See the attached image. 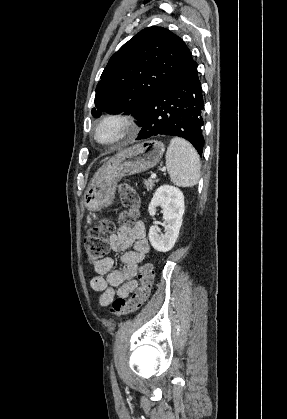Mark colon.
Instances as JSON below:
<instances>
[{
  "label": "colon",
  "mask_w": 287,
  "mask_h": 419,
  "mask_svg": "<svg viewBox=\"0 0 287 419\" xmlns=\"http://www.w3.org/2000/svg\"><path fill=\"white\" fill-rule=\"evenodd\" d=\"M119 194L123 207L122 217L128 221L133 220L138 213L139 196L136 190L128 184L119 186ZM115 223L108 219H102L95 227L85 235L84 246L88 259L97 264L102 261L109 250L107 235L114 232ZM153 268L150 264H143L139 271L140 286L129 299L117 298L113 301L110 313L114 316H124L135 312L148 300L153 283Z\"/></svg>",
  "instance_id": "1"
}]
</instances>
